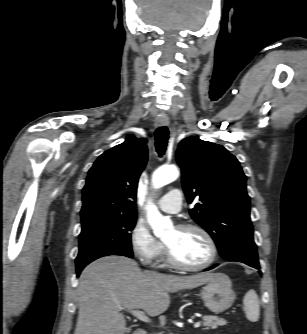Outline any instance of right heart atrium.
Here are the masks:
<instances>
[{
    "instance_id": "right-heart-atrium-1",
    "label": "right heart atrium",
    "mask_w": 307,
    "mask_h": 334,
    "mask_svg": "<svg viewBox=\"0 0 307 334\" xmlns=\"http://www.w3.org/2000/svg\"><path fill=\"white\" fill-rule=\"evenodd\" d=\"M130 246L133 255L143 265L152 264L164 251V246L151 233L143 221H136L130 232Z\"/></svg>"
}]
</instances>
